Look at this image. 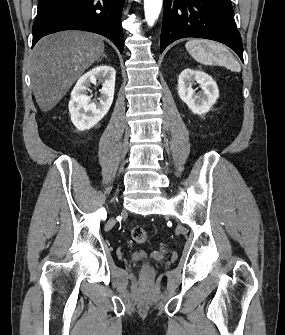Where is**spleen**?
<instances>
[{"label":"spleen","mask_w":285,"mask_h":335,"mask_svg":"<svg viewBox=\"0 0 285 335\" xmlns=\"http://www.w3.org/2000/svg\"><path fill=\"white\" fill-rule=\"evenodd\" d=\"M185 48L190 56L205 66H226L240 72V64L229 54L227 48L212 40H189Z\"/></svg>","instance_id":"1"}]
</instances>
